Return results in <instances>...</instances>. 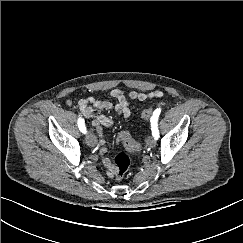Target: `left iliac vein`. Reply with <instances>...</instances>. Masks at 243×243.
<instances>
[{
	"label": "left iliac vein",
	"instance_id": "obj_1",
	"mask_svg": "<svg viewBox=\"0 0 243 243\" xmlns=\"http://www.w3.org/2000/svg\"><path fill=\"white\" fill-rule=\"evenodd\" d=\"M146 143L149 147L153 148L156 145V139L153 136H149Z\"/></svg>",
	"mask_w": 243,
	"mask_h": 243
}]
</instances>
